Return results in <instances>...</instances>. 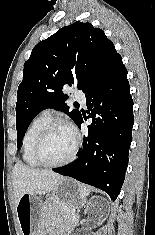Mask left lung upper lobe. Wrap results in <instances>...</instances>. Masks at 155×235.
<instances>
[{
    "mask_svg": "<svg viewBox=\"0 0 155 235\" xmlns=\"http://www.w3.org/2000/svg\"><path fill=\"white\" fill-rule=\"evenodd\" d=\"M120 57L102 29L91 23L75 22L39 42L24 63L23 80L16 103L17 147L33 118L46 108L65 112L76 124L80 111L65 103L62 89L76 85L85 94L110 70Z\"/></svg>",
    "mask_w": 155,
    "mask_h": 235,
    "instance_id": "5c2ea615",
    "label": "left lung upper lobe"
}]
</instances>
